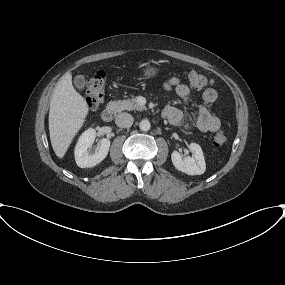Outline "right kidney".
Returning <instances> with one entry per match:
<instances>
[{"label": "right kidney", "instance_id": "ca27d5eb", "mask_svg": "<svg viewBox=\"0 0 285 285\" xmlns=\"http://www.w3.org/2000/svg\"><path fill=\"white\" fill-rule=\"evenodd\" d=\"M96 138V131L93 128L87 129L79 137L77 145L75 147V161L81 168H91L99 164L105 159L110 148V140L103 138L100 140V144L97 151L90 153L88 150L91 148Z\"/></svg>", "mask_w": 285, "mask_h": 285}]
</instances>
